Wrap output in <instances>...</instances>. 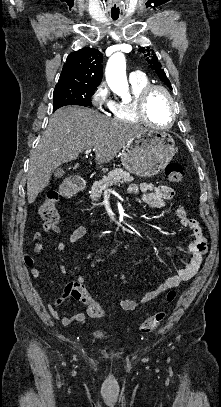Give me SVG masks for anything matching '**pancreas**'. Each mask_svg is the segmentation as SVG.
<instances>
[{
	"label": "pancreas",
	"instance_id": "obj_1",
	"mask_svg": "<svg viewBox=\"0 0 221 407\" xmlns=\"http://www.w3.org/2000/svg\"><path fill=\"white\" fill-rule=\"evenodd\" d=\"M133 176L129 172L124 171L122 168H115L110 171L107 176H104L99 181H95L91 187L90 198L97 201L101 198L105 189L114 184L128 183L133 181Z\"/></svg>",
	"mask_w": 221,
	"mask_h": 407
}]
</instances>
